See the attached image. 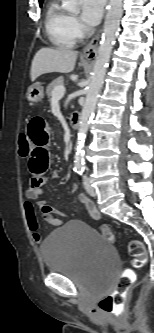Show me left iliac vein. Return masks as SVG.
I'll return each mask as SVG.
<instances>
[{
	"mask_svg": "<svg viewBox=\"0 0 154 333\" xmlns=\"http://www.w3.org/2000/svg\"><path fill=\"white\" fill-rule=\"evenodd\" d=\"M83 182H84V185H85V188H86V191L88 192V194L90 196H96V191L95 189L92 187V185L90 184L89 180L87 177H84L83 178Z\"/></svg>",
	"mask_w": 154,
	"mask_h": 333,
	"instance_id": "4c4485c4",
	"label": "left iliac vein"
}]
</instances>
